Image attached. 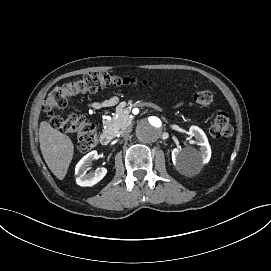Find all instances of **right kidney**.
<instances>
[{"label":"right kidney","instance_id":"obj_1","mask_svg":"<svg viewBox=\"0 0 271 271\" xmlns=\"http://www.w3.org/2000/svg\"><path fill=\"white\" fill-rule=\"evenodd\" d=\"M97 151H91L85 155L75 167V175H77L76 183L80 186H93L98 183L107 173L104 167L97 168L95 172L86 173L88 167L94 159H97Z\"/></svg>","mask_w":271,"mask_h":271}]
</instances>
